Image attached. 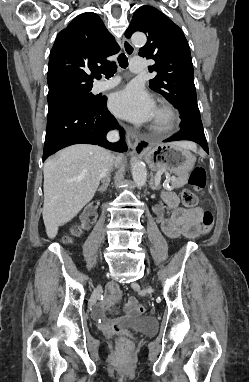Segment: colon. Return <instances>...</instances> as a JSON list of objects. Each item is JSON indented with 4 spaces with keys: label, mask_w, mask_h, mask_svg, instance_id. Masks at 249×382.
<instances>
[{
    "label": "colon",
    "mask_w": 249,
    "mask_h": 382,
    "mask_svg": "<svg viewBox=\"0 0 249 382\" xmlns=\"http://www.w3.org/2000/svg\"><path fill=\"white\" fill-rule=\"evenodd\" d=\"M206 183H207V175L204 168L195 167L190 173L189 184L195 190L198 191L203 189L206 186ZM197 201H198L197 196L193 192L189 190L183 191L182 202L186 207L188 208L194 207L197 204ZM213 223H214V218L212 213L206 210L203 213V218H202V230L204 234L209 233L211 231L213 227ZM81 231H82V227L76 226L73 229L72 234L76 236V235H79ZM69 240L70 239H67V241ZM133 311L134 313L141 315L145 313V307L141 304H136L133 307ZM118 342H119L121 354H129L132 349L131 341L126 337H120Z\"/></svg>",
    "instance_id": "colon-1"
}]
</instances>
